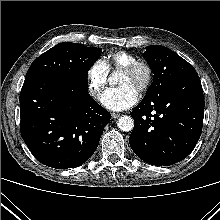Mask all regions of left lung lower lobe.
<instances>
[{
    "mask_svg": "<svg viewBox=\"0 0 220 220\" xmlns=\"http://www.w3.org/2000/svg\"><path fill=\"white\" fill-rule=\"evenodd\" d=\"M129 143L143 161L167 166L186 158L203 127L204 97L198 75L176 81L167 90L143 99L131 112Z\"/></svg>",
    "mask_w": 220,
    "mask_h": 220,
    "instance_id": "1",
    "label": "left lung lower lobe"
}]
</instances>
